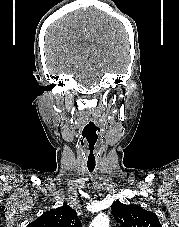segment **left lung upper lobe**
<instances>
[{
  "label": "left lung upper lobe",
  "mask_w": 179,
  "mask_h": 227,
  "mask_svg": "<svg viewBox=\"0 0 179 227\" xmlns=\"http://www.w3.org/2000/svg\"><path fill=\"white\" fill-rule=\"evenodd\" d=\"M112 212L122 227H162L156 214L138 205H125L116 201L112 204Z\"/></svg>",
  "instance_id": "5c2ea615"
}]
</instances>
